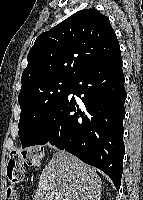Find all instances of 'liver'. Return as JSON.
Returning a JSON list of instances; mask_svg holds the SVG:
<instances>
[{
	"label": "liver",
	"mask_w": 143,
	"mask_h": 200,
	"mask_svg": "<svg viewBox=\"0 0 143 200\" xmlns=\"http://www.w3.org/2000/svg\"><path fill=\"white\" fill-rule=\"evenodd\" d=\"M101 188L95 168L66 151H57L40 175L33 200H100Z\"/></svg>",
	"instance_id": "6515ba94"
}]
</instances>
